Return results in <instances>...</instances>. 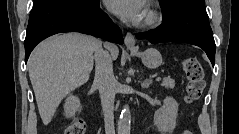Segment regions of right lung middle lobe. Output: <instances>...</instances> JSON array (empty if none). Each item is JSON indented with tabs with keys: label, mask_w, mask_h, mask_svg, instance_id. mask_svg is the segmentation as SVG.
Returning a JSON list of instances; mask_svg holds the SVG:
<instances>
[{
	"label": "right lung middle lobe",
	"mask_w": 239,
	"mask_h": 134,
	"mask_svg": "<svg viewBox=\"0 0 239 134\" xmlns=\"http://www.w3.org/2000/svg\"><path fill=\"white\" fill-rule=\"evenodd\" d=\"M46 0H34V7L42 4L43 2H45Z\"/></svg>",
	"instance_id": "1"
}]
</instances>
